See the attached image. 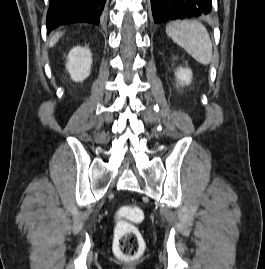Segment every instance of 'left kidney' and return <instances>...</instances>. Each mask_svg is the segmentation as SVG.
I'll use <instances>...</instances> for the list:
<instances>
[{
  "label": "left kidney",
  "mask_w": 265,
  "mask_h": 269,
  "mask_svg": "<svg viewBox=\"0 0 265 269\" xmlns=\"http://www.w3.org/2000/svg\"><path fill=\"white\" fill-rule=\"evenodd\" d=\"M175 76L177 79V82L184 86V85H189L192 80V71L189 68H182L179 67L177 71L175 72Z\"/></svg>",
  "instance_id": "5707ae66"
}]
</instances>
